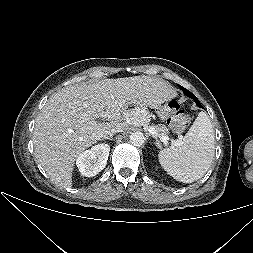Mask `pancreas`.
I'll return each instance as SVG.
<instances>
[{"instance_id": "pancreas-1", "label": "pancreas", "mask_w": 253, "mask_h": 253, "mask_svg": "<svg viewBox=\"0 0 253 253\" xmlns=\"http://www.w3.org/2000/svg\"><path fill=\"white\" fill-rule=\"evenodd\" d=\"M155 129L157 130L159 135H165L166 133H168V129L166 126L162 125V126H155Z\"/></svg>"}]
</instances>
